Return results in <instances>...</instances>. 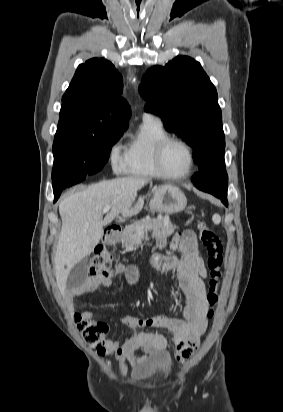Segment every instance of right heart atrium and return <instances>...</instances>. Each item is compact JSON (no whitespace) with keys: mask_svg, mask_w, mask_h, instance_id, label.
Returning a JSON list of instances; mask_svg holds the SVG:
<instances>
[{"mask_svg":"<svg viewBox=\"0 0 283 412\" xmlns=\"http://www.w3.org/2000/svg\"><path fill=\"white\" fill-rule=\"evenodd\" d=\"M125 152L121 140L114 142L110 148V160L114 170L120 171L123 168Z\"/></svg>","mask_w":283,"mask_h":412,"instance_id":"right-heart-atrium-1","label":"right heart atrium"}]
</instances>
